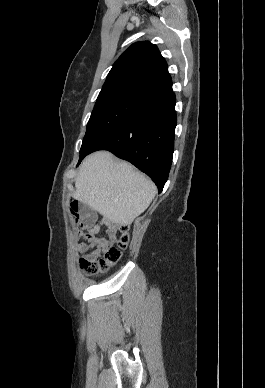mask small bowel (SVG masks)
<instances>
[{
	"label": "small bowel",
	"instance_id": "1",
	"mask_svg": "<svg viewBox=\"0 0 265 388\" xmlns=\"http://www.w3.org/2000/svg\"><path fill=\"white\" fill-rule=\"evenodd\" d=\"M102 224L106 226V232L109 238H114L116 235V224L109 218H104ZM83 225L88 229V233L84 235L86 242L80 243L77 249L81 253H85L84 259L97 260L102 252H105L111 246V241L104 237H98L96 234L100 230V224L96 223V215L89 213L86 215ZM93 248V249H92ZM90 249H92L90 251Z\"/></svg>",
	"mask_w": 265,
	"mask_h": 388
}]
</instances>
